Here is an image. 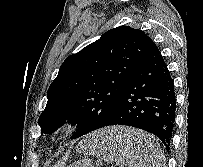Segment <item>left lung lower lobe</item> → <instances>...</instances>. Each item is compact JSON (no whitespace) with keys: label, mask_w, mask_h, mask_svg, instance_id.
<instances>
[{"label":"left lung lower lobe","mask_w":203,"mask_h":167,"mask_svg":"<svg viewBox=\"0 0 203 167\" xmlns=\"http://www.w3.org/2000/svg\"><path fill=\"white\" fill-rule=\"evenodd\" d=\"M176 112L174 82L157 48L133 72L123 89L116 111L100 126L127 125L156 135L169 151ZM109 148H122L124 141L105 140Z\"/></svg>","instance_id":"0a47b994"}]
</instances>
